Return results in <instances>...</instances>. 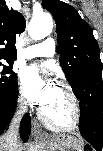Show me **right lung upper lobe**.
<instances>
[{
    "label": "right lung upper lobe",
    "mask_w": 103,
    "mask_h": 151,
    "mask_svg": "<svg viewBox=\"0 0 103 151\" xmlns=\"http://www.w3.org/2000/svg\"><path fill=\"white\" fill-rule=\"evenodd\" d=\"M24 29L23 16L17 11L9 10L5 1L0 0V61L6 60L11 63L17 56L16 34Z\"/></svg>",
    "instance_id": "1"
}]
</instances>
